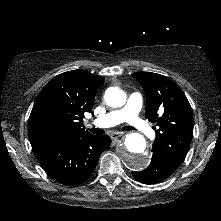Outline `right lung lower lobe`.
<instances>
[{
    "label": "right lung lower lobe",
    "mask_w": 221,
    "mask_h": 221,
    "mask_svg": "<svg viewBox=\"0 0 221 221\" xmlns=\"http://www.w3.org/2000/svg\"><path fill=\"white\" fill-rule=\"evenodd\" d=\"M111 144L109 136H87L33 145L45 171L57 182L76 186L93 173L99 156Z\"/></svg>",
    "instance_id": "98d812e1"
}]
</instances>
